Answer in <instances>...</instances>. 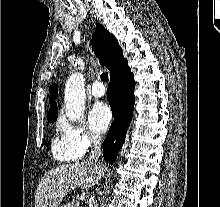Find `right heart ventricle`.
<instances>
[{
  "label": "right heart ventricle",
  "mask_w": 220,
  "mask_h": 207,
  "mask_svg": "<svg viewBox=\"0 0 220 207\" xmlns=\"http://www.w3.org/2000/svg\"><path fill=\"white\" fill-rule=\"evenodd\" d=\"M51 150L53 157L62 163L74 162L84 155L81 151L69 144L62 133L56 134L53 137Z\"/></svg>",
  "instance_id": "obj_1"
}]
</instances>
